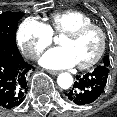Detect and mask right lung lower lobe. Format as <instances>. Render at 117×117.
<instances>
[{
  "label": "right lung lower lobe",
  "mask_w": 117,
  "mask_h": 117,
  "mask_svg": "<svg viewBox=\"0 0 117 117\" xmlns=\"http://www.w3.org/2000/svg\"><path fill=\"white\" fill-rule=\"evenodd\" d=\"M32 68L23 60L16 44L0 43V109H12L22 103Z\"/></svg>",
  "instance_id": "obj_1"
}]
</instances>
